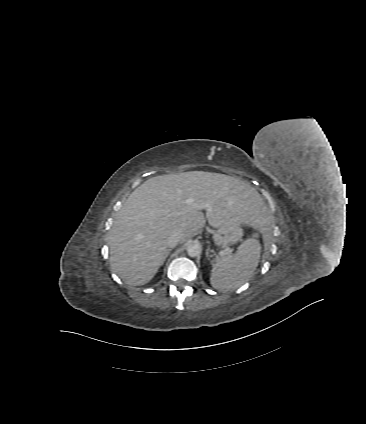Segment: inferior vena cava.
<instances>
[{"label": "inferior vena cava", "mask_w": 366, "mask_h": 424, "mask_svg": "<svg viewBox=\"0 0 366 424\" xmlns=\"http://www.w3.org/2000/svg\"><path fill=\"white\" fill-rule=\"evenodd\" d=\"M181 239H182L181 232L172 233L167 239V245L173 248L181 241Z\"/></svg>", "instance_id": "1"}]
</instances>
